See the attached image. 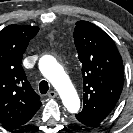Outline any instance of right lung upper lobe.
Returning a JSON list of instances; mask_svg holds the SVG:
<instances>
[{
	"label": "right lung upper lobe",
	"instance_id": "right-lung-upper-lobe-1",
	"mask_svg": "<svg viewBox=\"0 0 133 133\" xmlns=\"http://www.w3.org/2000/svg\"><path fill=\"white\" fill-rule=\"evenodd\" d=\"M36 26L10 25L0 31V123L15 128L28 122L41 106L21 66Z\"/></svg>",
	"mask_w": 133,
	"mask_h": 133
}]
</instances>
